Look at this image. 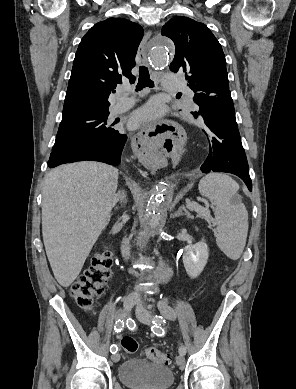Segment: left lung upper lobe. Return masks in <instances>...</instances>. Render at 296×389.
Listing matches in <instances>:
<instances>
[{"instance_id": "1", "label": "left lung upper lobe", "mask_w": 296, "mask_h": 389, "mask_svg": "<svg viewBox=\"0 0 296 389\" xmlns=\"http://www.w3.org/2000/svg\"><path fill=\"white\" fill-rule=\"evenodd\" d=\"M161 34L175 44V57L170 70L185 72L188 86L195 93L193 100L199 106V112L191 113L198 118L209 103L208 98L230 92L222 47L205 24L188 17L170 19L163 26Z\"/></svg>"}]
</instances>
